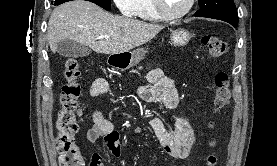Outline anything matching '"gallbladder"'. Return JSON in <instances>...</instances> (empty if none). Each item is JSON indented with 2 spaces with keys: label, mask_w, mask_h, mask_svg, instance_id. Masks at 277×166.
<instances>
[{
  "label": "gallbladder",
  "mask_w": 277,
  "mask_h": 166,
  "mask_svg": "<svg viewBox=\"0 0 277 166\" xmlns=\"http://www.w3.org/2000/svg\"><path fill=\"white\" fill-rule=\"evenodd\" d=\"M57 52L65 57L79 58L89 55L91 50L78 42L64 39L58 43Z\"/></svg>",
  "instance_id": "1"
}]
</instances>
